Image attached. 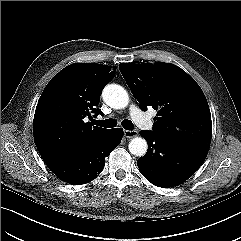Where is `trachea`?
<instances>
[{"instance_id": "1", "label": "trachea", "mask_w": 241, "mask_h": 241, "mask_svg": "<svg viewBox=\"0 0 241 241\" xmlns=\"http://www.w3.org/2000/svg\"><path fill=\"white\" fill-rule=\"evenodd\" d=\"M93 124L94 125H97V126H101V127H105V128H113L117 125V122L115 119H106V120H93ZM122 126L124 129L126 130H132L134 128V125L133 123L128 120V119H125L122 121Z\"/></svg>"}]
</instances>
